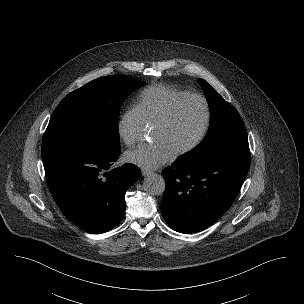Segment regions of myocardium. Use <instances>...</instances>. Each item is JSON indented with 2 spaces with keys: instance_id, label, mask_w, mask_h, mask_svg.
Here are the masks:
<instances>
[{
  "instance_id": "1",
  "label": "myocardium",
  "mask_w": 304,
  "mask_h": 304,
  "mask_svg": "<svg viewBox=\"0 0 304 304\" xmlns=\"http://www.w3.org/2000/svg\"><path fill=\"white\" fill-rule=\"evenodd\" d=\"M192 99L199 100L203 105V108H204L203 124L200 129V132L198 133L197 137L193 140V142H191L186 147H184V148L180 149L179 151H177L176 153H174V157H176V158L185 156V155L193 152L204 141V139L208 133L210 124H211V107H210V103H209L208 99L204 95L199 94V93H188V94L178 98L177 100H175L169 106V108L166 110V112L163 114V116L154 125V127H165L166 125H168L171 122L172 118L174 117L175 113L177 112L178 108L184 102H186L188 100H192Z\"/></svg>"
}]
</instances>
